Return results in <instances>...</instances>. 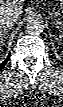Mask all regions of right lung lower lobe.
I'll return each mask as SVG.
<instances>
[{
    "label": "right lung lower lobe",
    "instance_id": "98d812e1",
    "mask_svg": "<svg viewBox=\"0 0 63 107\" xmlns=\"http://www.w3.org/2000/svg\"><path fill=\"white\" fill-rule=\"evenodd\" d=\"M9 57H10V54H9L8 57L5 59V61H3V62L0 64V70H1V68L7 63Z\"/></svg>",
    "mask_w": 63,
    "mask_h": 107
}]
</instances>
